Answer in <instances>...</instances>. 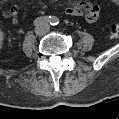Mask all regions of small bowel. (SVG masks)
Masks as SVG:
<instances>
[{
  "label": "small bowel",
  "mask_w": 119,
  "mask_h": 119,
  "mask_svg": "<svg viewBox=\"0 0 119 119\" xmlns=\"http://www.w3.org/2000/svg\"><path fill=\"white\" fill-rule=\"evenodd\" d=\"M66 13L71 16H84L89 23L97 22L100 16V9L90 2H69ZM18 7L14 6L4 13V16L13 23H17Z\"/></svg>",
  "instance_id": "c3829d8e"
}]
</instances>
